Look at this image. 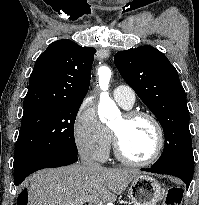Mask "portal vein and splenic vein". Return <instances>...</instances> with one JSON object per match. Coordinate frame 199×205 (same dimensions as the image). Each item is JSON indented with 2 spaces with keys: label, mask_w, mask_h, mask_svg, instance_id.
Returning <instances> with one entry per match:
<instances>
[{
  "label": "portal vein and splenic vein",
  "mask_w": 199,
  "mask_h": 205,
  "mask_svg": "<svg viewBox=\"0 0 199 205\" xmlns=\"http://www.w3.org/2000/svg\"><path fill=\"white\" fill-rule=\"evenodd\" d=\"M89 202L94 203L95 205H103L102 202L95 197H91ZM81 205H83V204H81Z\"/></svg>",
  "instance_id": "obj_1"
}]
</instances>
